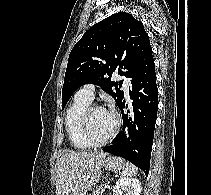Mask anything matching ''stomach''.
<instances>
[{
    "instance_id": "1",
    "label": "stomach",
    "mask_w": 211,
    "mask_h": 195,
    "mask_svg": "<svg viewBox=\"0 0 211 195\" xmlns=\"http://www.w3.org/2000/svg\"><path fill=\"white\" fill-rule=\"evenodd\" d=\"M125 160L117 156L104 157L100 160L98 166L91 172L88 177L90 187L94 186L101 175V168L111 172H117L125 168ZM82 195H86L84 192Z\"/></svg>"
}]
</instances>
